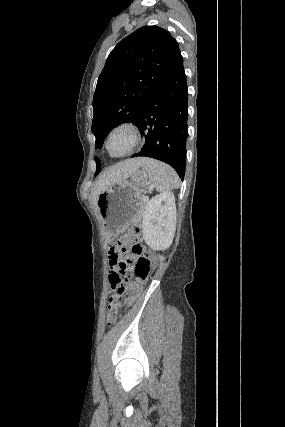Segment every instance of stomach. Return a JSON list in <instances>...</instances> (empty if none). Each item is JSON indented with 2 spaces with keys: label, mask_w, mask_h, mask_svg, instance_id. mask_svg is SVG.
Listing matches in <instances>:
<instances>
[{
  "label": "stomach",
  "mask_w": 285,
  "mask_h": 427,
  "mask_svg": "<svg viewBox=\"0 0 285 427\" xmlns=\"http://www.w3.org/2000/svg\"><path fill=\"white\" fill-rule=\"evenodd\" d=\"M150 183L145 170H136L130 180L124 179L100 193L97 210L106 236H116L123 227L135 222L139 214L140 189Z\"/></svg>",
  "instance_id": "stomach-1"
}]
</instances>
